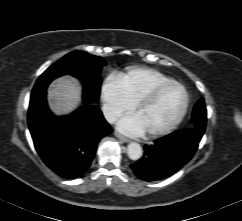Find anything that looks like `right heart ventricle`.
Instances as JSON below:
<instances>
[{
    "mask_svg": "<svg viewBox=\"0 0 242 221\" xmlns=\"http://www.w3.org/2000/svg\"><path fill=\"white\" fill-rule=\"evenodd\" d=\"M115 79L133 105L155 86L172 81L166 75L147 68L131 69L119 74Z\"/></svg>",
    "mask_w": 242,
    "mask_h": 221,
    "instance_id": "right-heart-ventricle-1",
    "label": "right heart ventricle"
}]
</instances>
